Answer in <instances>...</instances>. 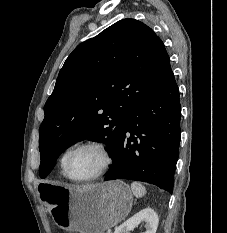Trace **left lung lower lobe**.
Wrapping results in <instances>:
<instances>
[{
  "label": "left lung lower lobe",
  "mask_w": 227,
  "mask_h": 233,
  "mask_svg": "<svg viewBox=\"0 0 227 233\" xmlns=\"http://www.w3.org/2000/svg\"><path fill=\"white\" fill-rule=\"evenodd\" d=\"M180 117L179 89L171 71L158 90L132 108L105 180L143 181L172 193Z\"/></svg>",
  "instance_id": "obj_1"
}]
</instances>
